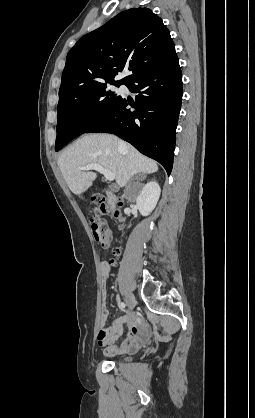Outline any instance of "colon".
<instances>
[{
	"mask_svg": "<svg viewBox=\"0 0 255 418\" xmlns=\"http://www.w3.org/2000/svg\"><path fill=\"white\" fill-rule=\"evenodd\" d=\"M97 206L92 211V233L95 240L101 245L102 248L108 249L111 247L113 234L111 229L106 225V223L101 219V216L108 212L109 205L102 198H96ZM123 205L122 199H117L114 203L116 208H121ZM119 248H114L113 253L118 256L120 254ZM113 263V260L111 261Z\"/></svg>",
	"mask_w": 255,
	"mask_h": 418,
	"instance_id": "colon-1",
	"label": "colon"
}]
</instances>
